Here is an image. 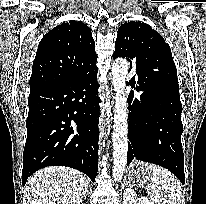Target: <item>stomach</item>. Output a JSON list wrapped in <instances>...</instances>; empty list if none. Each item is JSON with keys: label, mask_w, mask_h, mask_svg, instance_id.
Here are the masks:
<instances>
[{"label": "stomach", "mask_w": 206, "mask_h": 204, "mask_svg": "<svg viewBox=\"0 0 206 204\" xmlns=\"http://www.w3.org/2000/svg\"><path fill=\"white\" fill-rule=\"evenodd\" d=\"M149 164L142 161H134L129 169V179L132 183L144 186L145 183H150Z\"/></svg>", "instance_id": "1"}]
</instances>
